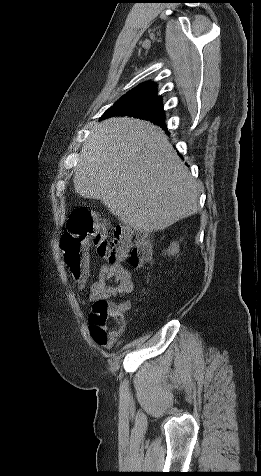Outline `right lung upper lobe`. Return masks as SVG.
Listing matches in <instances>:
<instances>
[{"mask_svg":"<svg viewBox=\"0 0 261 476\" xmlns=\"http://www.w3.org/2000/svg\"><path fill=\"white\" fill-rule=\"evenodd\" d=\"M157 85L153 82H145L138 85L133 90L124 95L121 102H140V101H157L161 102L159 96H157Z\"/></svg>","mask_w":261,"mask_h":476,"instance_id":"1","label":"right lung upper lobe"}]
</instances>
